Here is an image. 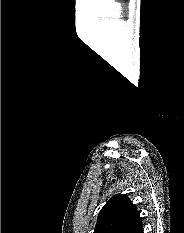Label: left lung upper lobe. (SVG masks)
<instances>
[{
    "mask_svg": "<svg viewBox=\"0 0 184 233\" xmlns=\"http://www.w3.org/2000/svg\"><path fill=\"white\" fill-rule=\"evenodd\" d=\"M94 233H144L136 205L126 194H116L100 210Z\"/></svg>",
    "mask_w": 184,
    "mask_h": 233,
    "instance_id": "obj_1",
    "label": "left lung upper lobe"
}]
</instances>
